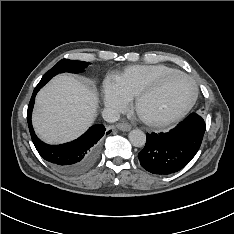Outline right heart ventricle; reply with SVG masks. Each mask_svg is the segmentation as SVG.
Segmentation results:
<instances>
[{
	"label": "right heart ventricle",
	"instance_id": "right-heart-ventricle-1",
	"mask_svg": "<svg viewBox=\"0 0 234 234\" xmlns=\"http://www.w3.org/2000/svg\"><path fill=\"white\" fill-rule=\"evenodd\" d=\"M174 71L178 70L161 64L134 65L126 67L117 75L115 82L123 95L129 100H133L157 79Z\"/></svg>",
	"mask_w": 234,
	"mask_h": 234
}]
</instances>
